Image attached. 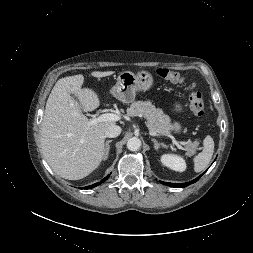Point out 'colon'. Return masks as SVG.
Listing matches in <instances>:
<instances>
[{"label": "colon", "instance_id": "colon-1", "mask_svg": "<svg viewBox=\"0 0 253 253\" xmlns=\"http://www.w3.org/2000/svg\"><path fill=\"white\" fill-rule=\"evenodd\" d=\"M156 74L165 81L186 84L188 90L190 91L189 101L192 113L198 118H202L204 116L205 106L203 98L201 93L196 90V85L193 81L187 80L179 72L168 68H159L157 69Z\"/></svg>", "mask_w": 253, "mask_h": 253}]
</instances>
